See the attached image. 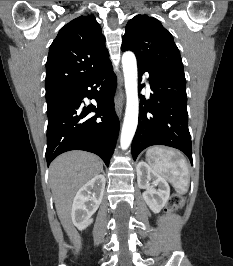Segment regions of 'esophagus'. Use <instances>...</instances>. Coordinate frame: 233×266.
Returning <instances> with one entry per match:
<instances>
[{
    "label": "esophagus",
    "instance_id": "obj_1",
    "mask_svg": "<svg viewBox=\"0 0 233 266\" xmlns=\"http://www.w3.org/2000/svg\"><path fill=\"white\" fill-rule=\"evenodd\" d=\"M122 97H123V90L119 86L117 88V92H116V112H117V115H118L119 118L122 115L123 105H124Z\"/></svg>",
    "mask_w": 233,
    "mask_h": 266
}]
</instances>
